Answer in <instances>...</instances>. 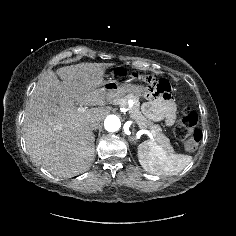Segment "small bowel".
Masks as SVG:
<instances>
[{
	"instance_id": "small-bowel-1",
	"label": "small bowel",
	"mask_w": 236,
	"mask_h": 236,
	"mask_svg": "<svg viewBox=\"0 0 236 236\" xmlns=\"http://www.w3.org/2000/svg\"><path fill=\"white\" fill-rule=\"evenodd\" d=\"M146 108L152 112L154 118H165L168 125H172L176 119L175 107L171 100L161 99L149 101Z\"/></svg>"
}]
</instances>
